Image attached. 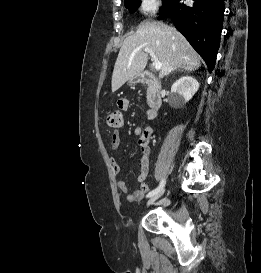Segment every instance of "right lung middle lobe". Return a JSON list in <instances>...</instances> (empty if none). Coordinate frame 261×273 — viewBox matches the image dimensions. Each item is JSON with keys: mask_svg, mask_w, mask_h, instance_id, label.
I'll return each mask as SVG.
<instances>
[{"mask_svg": "<svg viewBox=\"0 0 261 273\" xmlns=\"http://www.w3.org/2000/svg\"><path fill=\"white\" fill-rule=\"evenodd\" d=\"M162 1H163V9H164L174 0H162ZM124 3H125V7L129 10V12L133 13L138 9L140 5V0H124Z\"/></svg>", "mask_w": 261, "mask_h": 273, "instance_id": "right-lung-middle-lobe-1", "label": "right lung middle lobe"}]
</instances>
